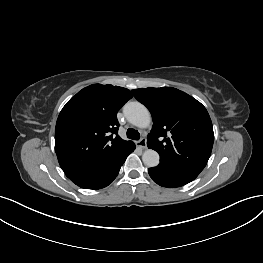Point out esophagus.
Listing matches in <instances>:
<instances>
[{"label":"esophagus","mask_w":263,"mask_h":263,"mask_svg":"<svg viewBox=\"0 0 263 263\" xmlns=\"http://www.w3.org/2000/svg\"><path fill=\"white\" fill-rule=\"evenodd\" d=\"M137 146L143 150L147 149V144H146V139L145 138H141L138 142H137Z\"/></svg>","instance_id":"esophagus-1"}]
</instances>
